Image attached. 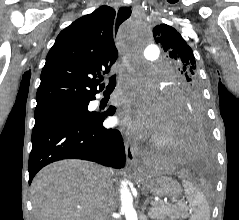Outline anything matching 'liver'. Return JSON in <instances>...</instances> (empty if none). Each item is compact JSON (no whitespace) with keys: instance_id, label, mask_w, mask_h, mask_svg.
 <instances>
[{"instance_id":"obj_1","label":"liver","mask_w":239,"mask_h":220,"mask_svg":"<svg viewBox=\"0 0 239 220\" xmlns=\"http://www.w3.org/2000/svg\"><path fill=\"white\" fill-rule=\"evenodd\" d=\"M112 174L110 169L76 159L48 165L31 184L35 220H98L103 182ZM184 176L179 172V177Z\"/></svg>"}]
</instances>
